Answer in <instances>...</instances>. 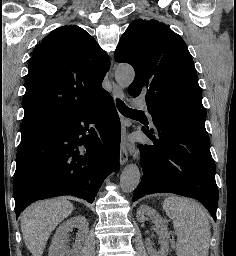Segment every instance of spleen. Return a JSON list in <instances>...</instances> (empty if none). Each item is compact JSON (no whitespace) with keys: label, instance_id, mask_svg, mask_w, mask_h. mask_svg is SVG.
Wrapping results in <instances>:
<instances>
[{"label":"spleen","instance_id":"1","mask_svg":"<svg viewBox=\"0 0 236 256\" xmlns=\"http://www.w3.org/2000/svg\"><path fill=\"white\" fill-rule=\"evenodd\" d=\"M163 210L173 220L176 256H208L211 232L205 210L196 202L178 196L166 198Z\"/></svg>","mask_w":236,"mask_h":256}]
</instances>
